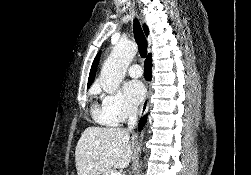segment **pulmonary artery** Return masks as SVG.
<instances>
[{"label":"pulmonary artery","mask_w":251,"mask_h":175,"mask_svg":"<svg viewBox=\"0 0 251 175\" xmlns=\"http://www.w3.org/2000/svg\"><path fill=\"white\" fill-rule=\"evenodd\" d=\"M128 74L132 77H140L143 70L137 63H134L128 68Z\"/></svg>","instance_id":"pulmonary-artery-1"}]
</instances>
